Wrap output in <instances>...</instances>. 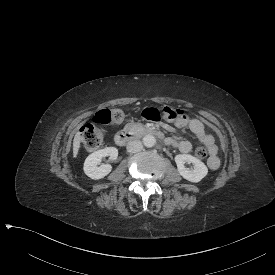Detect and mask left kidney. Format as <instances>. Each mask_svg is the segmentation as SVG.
Instances as JSON below:
<instances>
[{
	"label": "left kidney",
	"mask_w": 275,
	"mask_h": 275,
	"mask_svg": "<svg viewBox=\"0 0 275 275\" xmlns=\"http://www.w3.org/2000/svg\"><path fill=\"white\" fill-rule=\"evenodd\" d=\"M175 162L178 173L190 182L198 183L208 174L206 165L192 155L178 154L175 156ZM185 163H192L194 166L193 170L186 168L184 166Z\"/></svg>",
	"instance_id": "obj_1"
}]
</instances>
